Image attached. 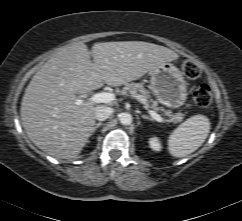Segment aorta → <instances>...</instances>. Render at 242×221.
I'll return each mask as SVG.
<instances>
[{"label": "aorta", "mask_w": 242, "mask_h": 221, "mask_svg": "<svg viewBox=\"0 0 242 221\" xmlns=\"http://www.w3.org/2000/svg\"><path fill=\"white\" fill-rule=\"evenodd\" d=\"M132 115L130 113L124 112L119 115V121L122 125H130L132 123Z\"/></svg>", "instance_id": "762f6f07"}]
</instances>
